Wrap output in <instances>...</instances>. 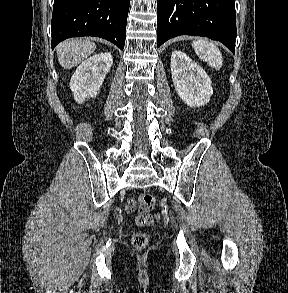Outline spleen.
Returning a JSON list of instances; mask_svg holds the SVG:
<instances>
[{
	"label": "spleen",
	"mask_w": 288,
	"mask_h": 293,
	"mask_svg": "<svg viewBox=\"0 0 288 293\" xmlns=\"http://www.w3.org/2000/svg\"><path fill=\"white\" fill-rule=\"evenodd\" d=\"M192 46L199 58L207 62L211 67L217 70L222 67V54L216 45L205 39H198L192 42Z\"/></svg>",
	"instance_id": "spleen-1"
}]
</instances>
